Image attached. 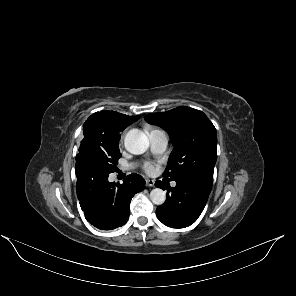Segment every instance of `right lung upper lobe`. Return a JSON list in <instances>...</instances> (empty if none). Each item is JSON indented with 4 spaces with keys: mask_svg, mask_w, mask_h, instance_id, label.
Masks as SVG:
<instances>
[{
    "mask_svg": "<svg viewBox=\"0 0 296 296\" xmlns=\"http://www.w3.org/2000/svg\"><path fill=\"white\" fill-rule=\"evenodd\" d=\"M141 116H127L115 111L103 110L93 113L83 125L84 137L106 138L119 134Z\"/></svg>",
    "mask_w": 296,
    "mask_h": 296,
    "instance_id": "1",
    "label": "right lung upper lobe"
}]
</instances>
